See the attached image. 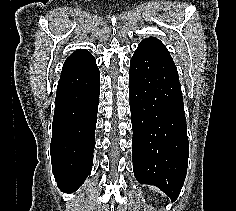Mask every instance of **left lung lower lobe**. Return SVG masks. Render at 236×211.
I'll use <instances>...</instances> for the list:
<instances>
[{"mask_svg": "<svg viewBox=\"0 0 236 211\" xmlns=\"http://www.w3.org/2000/svg\"><path fill=\"white\" fill-rule=\"evenodd\" d=\"M129 98L135 178L159 187L174 201L186 177L189 143L172 57L138 46L130 62Z\"/></svg>", "mask_w": 236, "mask_h": 211, "instance_id": "obj_1", "label": "left lung lower lobe"}]
</instances>
